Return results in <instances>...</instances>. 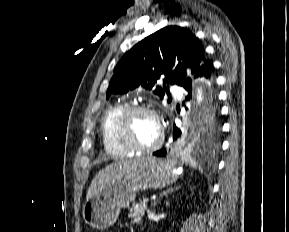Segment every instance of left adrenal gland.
I'll return each instance as SVG.
<instances>
[{"instance_id":"obj_1","label":"left adrenal gland","mask_w":289,"mask_h":232,"mask_svg":"<svg viewBox=\"0 0 289 232\" xmlns=\"http://www.w3.org/2000/svg\"><path fill=\"white\" fill-rule=\"evenodd\" d=\"M179 188L180 187H176L175 189L170 188L167 191H164L163 193L160 194V198H162L163 196H166L168 193H172V192L178 190ZM155 204H156V201L153 203V205H155Z\"/></svg>"}]
</instances>
